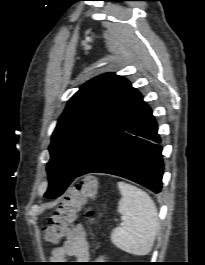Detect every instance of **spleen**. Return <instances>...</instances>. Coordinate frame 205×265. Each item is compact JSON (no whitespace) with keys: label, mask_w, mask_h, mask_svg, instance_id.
<instances>
[{"label":"spleen","mask_w":205,"mask_h":265,"mask_svg":"<svg viewBox=\"0 0 205 265\" xmlns=\"http://www.w3.org/2000/svg\"><path fill=\"white\" fill-rule=\"evenodd\" d=\"M121 199L118 212L123 224L113 229L112 243L133 255H147L152 250L159 219L157 208L151 197L143 190L125 182H118Z\"/></svg>","instance_id":"3e777b00"}]
</instances>
